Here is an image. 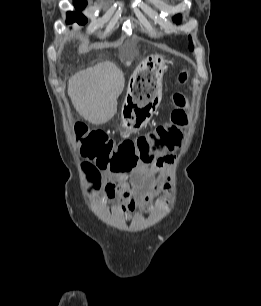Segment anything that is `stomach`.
Wrapping results in <instances>:
<instances>
[{
	"label": "stomach",
	"instance_id": "1",
	"mask_svg": "<svg viewBox=\"0 0 261 306\" xmlns=\"http://www.w3.org/2000/svg\"><path fill=\"white\" fill-rule=\"evenodd\" d=\"M168 61L151 55L143 63L147 77L131 85L125 98L121 116L129 131L141 130L149 122L162 98V80Z\"/></svg>",
	"mask_w": 261,
	"mask_h": 306
}]
</instances>
